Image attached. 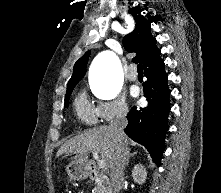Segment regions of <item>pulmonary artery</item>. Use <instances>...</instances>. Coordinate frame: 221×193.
Masks as SVG:
<instances>
[{"instance_id": "1", "label": "pulmonary artery", "mask_w": 221, "mask_h": 193, "mask_svg": "<svg viewBox=\"0 0 221 193\" xmlns=\"http://www.w3.org/2000/svg\"><path fill=\"white\" fill-rule=\"evenodd\" d=\"M127 78L130 81H136L138 79V74L135 70H130L127 72Z\"/></svg>"}]
</instances>
